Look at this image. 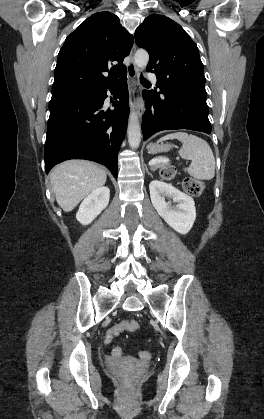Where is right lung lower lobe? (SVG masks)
<instances>
[{
	"mask_svg": "<svg viewBox=\"0 0 264 419\" xmlns=\"http://www.w3.org/2000/svg\"><path fill=\"white\" fill-rule=\"evenodd\" d=\"M126 73L114 84L94 92L52 98L44 150L45 170L68 159H87L105 165L118 176L117 156L128 121V88L113 102V110L104 108L107 90L115 93Z\"/></svg>",
	"mask_w": 264,
	"mask_h": 419,
	"instance_id": "right-lung-lower-lobe-1",
	"label": "right lung lower lobe"
}]
</instances>
